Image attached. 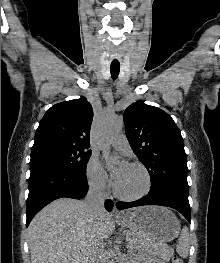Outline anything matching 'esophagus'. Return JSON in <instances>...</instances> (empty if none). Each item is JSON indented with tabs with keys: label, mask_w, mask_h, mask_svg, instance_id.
<instances>
[{
	"label": "esophagus",
	"mask_w": 220,
	"mask_h": 263,
	"mask_svg": "<svg viewBox=\"0 0 220 263\" xmlns=\"http://www.w3.org/2000/svg\"><path fill=\"white\" fill-rule=\"evenodd\" d=\"M113 216L115 217H120L121 213L116 209V207H114L113 211H112Z\"/></svg>",
	"instance_id": "esophagus-1"
}]
</instances>
